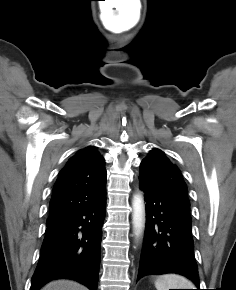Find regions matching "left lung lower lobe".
<instances>
[{
	"label": "left lung lower lobe",
	"instance_id": "left-lung-lower-lobe-1",
	"mask_svg": "<svg viewBox=\"0 0 236 290\" xmlns=\"http://www.w3.org/2000/svg\"><path fill=\"white\" fill-rule=\"evenodd\" d=\"M139 185L146 194V229L137 280L178 273L199 286L190 204L168 189L140 180Z\"/></svg>",
	"mask_w": 236,
	"mask_h": 290
}]
</instances>
